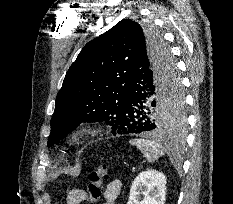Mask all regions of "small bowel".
Returning a JSON list of instances; mask_svg holds the SVG:
<instances>
[{
  "label": "small bowel",
  "mask_w": 233,
  "mask_h": 204,
  "mask_svg": "<svg viewBox=\"0 0 233 204\" xmlns=\"http://www.w3.org/2000/svg\"><path fill=\"white\" fill-rule=\"evenodd\" d=\"M121 181L114 179L111 180L105 187L103 197L104 203L103 204H116L117 199L121 192ZM85 202H92L89 199H86Z\"/></svg>",
  "instance_id": "obj_1"
}]
</instances>
